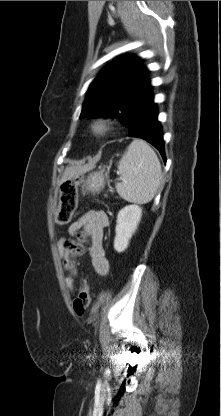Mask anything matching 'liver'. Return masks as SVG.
I'll return each instance as SVG.
<instances>
[{
    "mask_svg": "<svg viewBox=\"0 0 221 416\" xmlns=\"http://www.w3.org/2000/svg\"><path fill=\"white\" fill-rule=\"evenodd\" d=\"M91 165H83V166H69L66 167L62 179L60 181V184L67 181L68 179H71L72 177L79 176L89 169H91Z\"/></svg>",
    "mask_w": 221,
    "mask_h": 416,
    "instance_id": "1",
    "label": "liver"
}]
</instances>
